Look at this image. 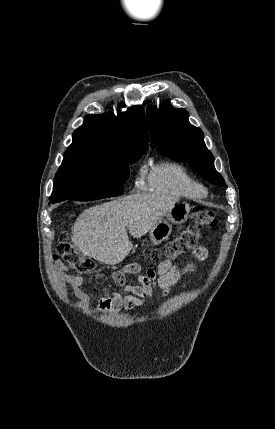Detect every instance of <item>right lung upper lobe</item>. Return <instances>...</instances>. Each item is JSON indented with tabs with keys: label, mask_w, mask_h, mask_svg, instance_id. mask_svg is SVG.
Listing matches in <instances>:
<instances>
[{
	"label": "right lung upper lobe",
	"mask_w": 275,
	"mask_h": 429,
	"mask_svg": "<svg viewBox=\"0 0 275 429\" xmlns=\"http://www.w3.org/2000/svg\"><path fill=\"white\" fill-rule=\"evenodd\" d=\"M148 134L141 106H133L115 116L112 113L87 115L73 133V142L64 159L110 158L147 151Z\"/></svg>",
	"instance_id": "right-lung-upper-lobe-1"
}]
</instances>
